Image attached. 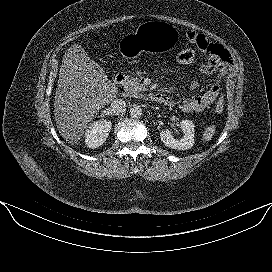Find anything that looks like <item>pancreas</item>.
<instances>
[{
	"mask_svg": "<svg viewBox=\"0 0 272 272\" xmlns=\"http://www.w3.org/2000/svg\"><path fill=\"white\" fill-rule=\"evenodd\" d=\"M124 89L129 93H136L143 90L144 86L138 78L129 77L124 85Z\"/></svg>",
	"mask_w": 272,
	"mask_h": 272,
	"instance_id": "1",
	"label": "pancreas"
}]
</instances>
